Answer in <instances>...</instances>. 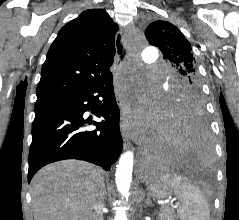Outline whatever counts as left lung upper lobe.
Returning <instances> with one entry per match:
<instances>
[{
	"label": "left lung upper lobe",
	"instance_id": "1",
	"mask_svg": "<svg viewBox=\"0 0 239 220\" xmlns=\"http://www.w3.org/2000/svg\"><path fill=\"white\" fill-rule=\"evenodd\" d=\"M149 43L158 47L176 69L178 77L170 87L168 108L180 112H204L200 77L191 44L181 31L166 21H155L145 30Z\"/></svg>",
	"mask_w": 239,
	"mask_h": 220
}]
</instances>
